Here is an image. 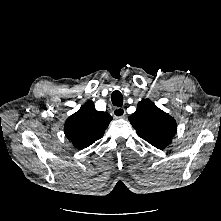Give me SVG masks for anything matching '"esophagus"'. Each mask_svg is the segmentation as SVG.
I'll list each match as a JSON object with an SVG mask.
<instances>
[{
  "instance_id": "34e87169",
  "label": "esophagus",
  "mask_w": 221,
  "mask_h": 221,
  "mask_svg": "<svg viewBox=\"0 0 221 221\" xmlns=\"http://www.w3.org/2000/svg\"><path fill=\"white\" fill-rule=\"evenodd\" d=\"M112 113L115 118H123L126 114L125 109L122 107H115Z\"/></svg>"
}]
</instances>
